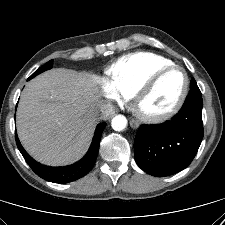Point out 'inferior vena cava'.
I'll return each mask as SVG.
<instances>
[{"label": "inferior vena cava", "mask_w": 225, "mask_h": 225, "mask_svg": "<svg viewBox=\"0 0 225 225\" xmlns=\"http://www.w3.org/2000/svg\"><path fill=\"white\" fill-rule=\"evenodd\" d=\"M114 113V106L110 102H102L96 113L97 119L106 120Z\"/></svg>", "instance_id": "obj_1"}]
</instances>
